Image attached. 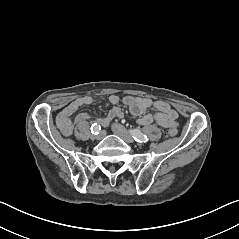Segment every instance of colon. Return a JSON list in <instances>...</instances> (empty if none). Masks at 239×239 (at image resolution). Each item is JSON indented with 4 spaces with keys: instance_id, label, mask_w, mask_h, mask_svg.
I'll return each instance as SVG.
<instances>
[{
    "instance_id": "5ec220e1",
    "label": "colon",
    "mask_w": 239,
    "mask_h": 239,
    "mask_svg": "<svg viewBox=\"0 0 239 239\" xmlns=\"http://www.w3.org/2000/svg\"><path fill=\"white\" fill-rule=\"evenodd\" d=\"M176 133H177V130H176L175 127H172V128L169 129V131H168V135L171 136V137L175 136Z\"/></svg>"
}]
</instances>
